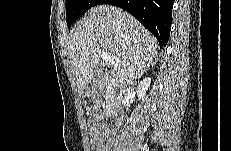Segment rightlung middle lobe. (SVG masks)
<instances>
[{"label": "right lung middle lobe", "instance_id": "dd1d6c3e", "mask_svg": "<svg viewBox=\"0 0 231 151\" xmlns=\"http://www.w3.org/2000/svg\"><path fill=\"white\" fill-rule=\"evenodd\" d=\"M101 2L102 0H66V21L68 27L87 10L100 5Z\"/></svg>", "mask_w": 231, "mask_h": 151}]
</instances>
